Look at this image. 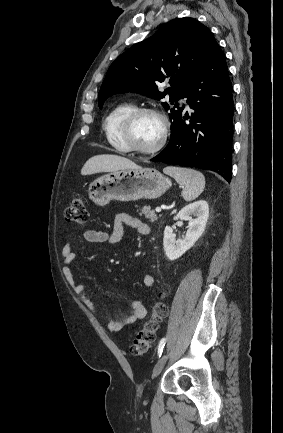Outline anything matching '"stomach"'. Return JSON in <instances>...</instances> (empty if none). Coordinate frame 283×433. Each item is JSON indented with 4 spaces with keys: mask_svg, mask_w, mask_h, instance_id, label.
I'll use <instances>...</instances> for the list:
<instances>
[{
    "mask_svg": "<svg viewBox=\"0 0 283 433\" xmlns=\"http://www.w3.org/2000/svg\"><path fill=\"white\" fill-rule=\"evenodd\" d=\"M171 186L170 178L156 168L140 170H117L98 176L89 184L88 196L104 206L109 200H139L158 198Z\"/></svg>",
    "mask_w": 283,
    "mask_h": 433,
    "instance_id": "1",
    "label": "stomach"
}]
</instances>
